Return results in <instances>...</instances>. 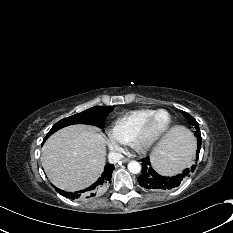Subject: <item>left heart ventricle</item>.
<instances>
[{
  "instance_id": "b2bd125f",
  "label": "left heart ventricle",
  "mask_w": 233,
  "mask_h": 233,
  "mask_svg": "<svg viewBox=\"0 0 233 233\" xmlns=\"http://www.w3.org/2000/svg\"><path fill=\"white\" fill-rule=\"evenodd\" d=\"M167 119V116L165 113H159L153 120L152 124H151V128L150 131L151 132H156L159 129H161L163 127V125L165 124Z\"/></svg>"
}]
</instances>
